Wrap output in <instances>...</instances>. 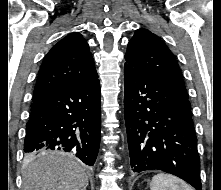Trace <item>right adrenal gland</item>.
Here are the masks:
<instances>
[{"label":"right adrenal gland","instance_id":"obj_1","mask_svg":"<svg viewBox=\"0 0 221 190\" xmlns=\"http://www.w3.org/2000/svg\"><path fill=\"white\" fill-rule=\"evenodd\" d=\"M86 188H87V185L82 190H86Z\"/></svg>","mask_w":221,"mask_h":190}]
</instances>
